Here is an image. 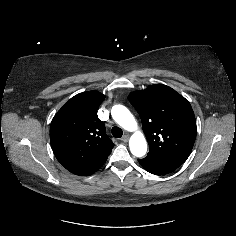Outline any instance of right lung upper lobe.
<instances>
[{
    "instance_id": "right-lung-upper-lobe-1",
    "label": "right lung upper lobe",
    "mask_w": 236,
    "mask_h": 236,
    "mask_svg": "<svg viewBox=\"0 0 236 236\" xmlns=\"http://www.w3.org/2000/svg\"><path fill=\"white\" fill-rule=\"evenodd\" d=\"M104 98L98 92L77 94L52 119L50 142L54 155L75 175H92L105 163L114 146L97 116Z\"/></svg>"
}]
</instances>
